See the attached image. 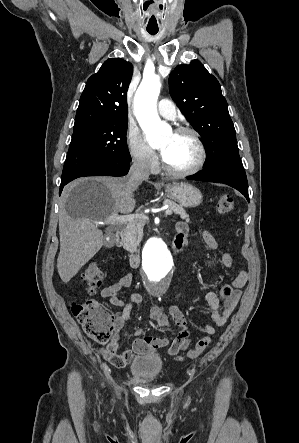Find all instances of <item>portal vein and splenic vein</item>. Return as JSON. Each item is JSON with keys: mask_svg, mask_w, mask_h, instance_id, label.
Masks as SVG:
<instances>
[{"mask_svg": "<svg viewBox=\"0 0 299 443\" xmlns=\"http://www.w3.org/2000/svg\"><path fill=\"white\" fill-rule=\"evenodd\" d=\"M165 214L167 216L172 215V211L170 209L165 210ZM138 219H148V217L146 215L143 214H130V215H118V214H114L110 217H108L107 219H105L104 221H100V222H94L95 226H99V225H104V224H111V225H120V224H131L134 221L138 220Z\"/></svg>", "mask_w": 299, "mask_h": 443, "instance_id": "18ae733b", "label": "portal vein and splenic vein"}]
</instances>
